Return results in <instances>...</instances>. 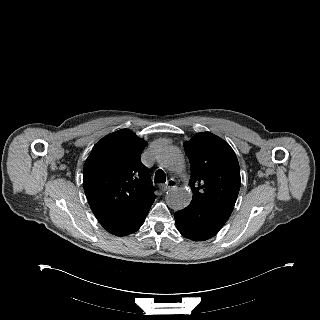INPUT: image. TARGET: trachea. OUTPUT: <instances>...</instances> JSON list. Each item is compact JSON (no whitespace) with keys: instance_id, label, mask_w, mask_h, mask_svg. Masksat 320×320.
I'll list each match as a JSON object with an SVG mask.
<instances>
[{"instance_id":"obj_1","label":"trachea","mask_w":320,"mask_h":320,"mask_svg":"<svg viewBox=\"0 0 320 320\" xmlns=\"http://www.w3.org/2000/svg\"><path fill=\"white\" fill-rule=\"evenodd\" d=\"M166 181L165 173L159 169L155 173V183H164Z\"/></svg>"}]
</instances>
